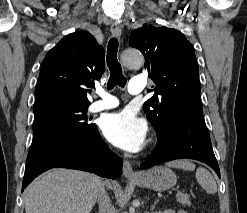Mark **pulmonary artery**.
Listing matches in <instances>:
<instances>
[{
	"label": "pulmonary artery",
	"instance_id": "e3ab8cb5",
	"mask_svg": "<svg viewBox=\"0 0 247 213\" xmlns=\"http://www.w3.org/2000/svg\"><path fill=\"white\" fill-rule=\"evenodd\" d=\"M145 77H133L130 80L129 86H128V91L130 94H138L144 91L145 88ZM97 95L100 97L99 100L94 101L90 106L89 110L91 112H99L103 110H108L115 108L119 105V100L102 90H97Z\"/></svg>",
	"mask_w": 247,
	"mask_h": 213
}]
</instances>
